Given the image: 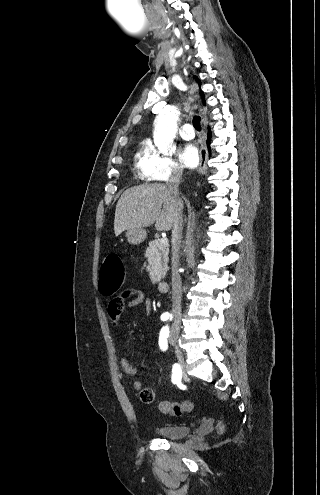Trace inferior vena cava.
Segmentation results:
<instances>
[{"label":"inferior vena cava","instance_id":"obj_1","mask_svg":"<svg viewBox=\"0 0 320 495\" xmlns=\"http://www.w3.org/2000/svg\"><path fill=\"white\" fill-rule=\"evenodd\" d=\"M182 176V170L175 168L168 182L170 193L177 198L178 187ZM183 217L182 212H178L172 227V314L174 321L171 325V332H178L180 329L181 320V298H182V282L178 271L179 268V250L182 238Z\"/></svg>","mask_w":320,"mask_h":495}]
</instances>
